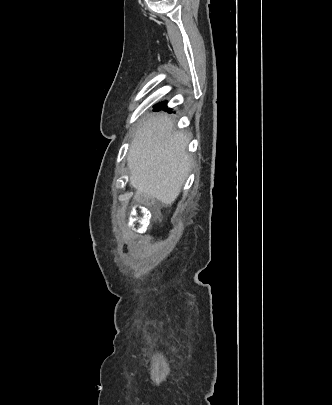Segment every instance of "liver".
Masks as SVG:
<instances>
[{"mask_svg":"<svg viewBox=\"0 0 332 405\" xmlns=\"http://www.w3.org/2000/svg\"><path fill=\"white\" fill-rule=\"evenodd\" d=\"M189 136L164 113L138 128L128 152L130 183L145 196L173 203L191 170Z\"/></svg>","mask_w":332,"mask_h":405,"instance_id":"1","label":"liver"}]
</instances>
